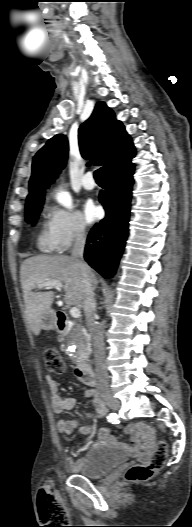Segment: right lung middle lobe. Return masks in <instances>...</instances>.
Here are the masks:
<instances>
[{
  "mask_svg": "<svg viewBox=\"0 0 192 527\" xmlns=\"http://www.w3.org/2000/svg\"><path fill=\"white\" fill-rule=\"evenodd\" d=\"M42 204H43V201H40L32 205L26 206L25 217H26L27 222H31L34 224L35 220L37 219L41 211Z\"/></svg>",
  "mask_w": 192,
  "mask_h": 527,
  "instance_id": "right-lung-middle-lobe-1",
  "label": "right lung middle lobe"
}]
</instances>
